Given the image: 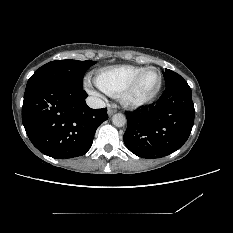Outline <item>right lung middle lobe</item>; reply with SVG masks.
Returning <instances> with one entry per match:
<instances>
[{
  "label": "right lung middle lobe",
  "instance_id": "1",
  "mask_svg": "<svg viewBox=\"0 0 233 233\" xmlns=\"http://www.w3.org/2000/svg\"><path fill=\"white\" fill-rule=\"evenodd\" d=\"M95 63L92 60L72 59L51 61L35 71L28 80L26 88L46 81H60L75 87H83L84 74Z\"/></svg>",
  "mask_w": 233,
  "mask_h": 233
}]
</instances>
